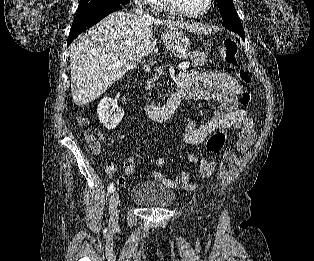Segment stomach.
Instances as JSON below:
<instances>
[{"label": "stomach", "mask_w": 314, "mask_h": 261, "mask_svg": "<svg viewBox=\"0 0 314 261\" xmlns=\"http://www.w3.org/2000/svg\"><path fill=\"white\" fill-rule=\"evenodd\" d=\"M164 42L174 43L182 49H187L190 47L189 39L180 31L177 27L169 28V30L163 36Z\"/></svg>", "instance_id": "obj_1"}]
</instances>
